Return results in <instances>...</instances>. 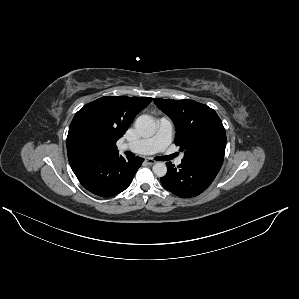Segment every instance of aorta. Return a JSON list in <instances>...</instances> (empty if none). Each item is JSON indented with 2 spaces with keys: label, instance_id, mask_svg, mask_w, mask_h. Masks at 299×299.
Returning a JSON list of instances; mask_svg holds the SVG:
<instances>
[{
  "label": "aorta",
  "instance_id": "762f6f07",
  "mask_svg": "<svg viewBox=\"0 0 299 299\" xmlns=\"http://www.w3.org/2000/svg\"><path fill=\"white\" fill-rule=\"evenodd\" d=\"M135 129L139 136L149 138L156 132V123L150 116L142 115L136 119ZM152 169L158 177H163L167 173V166L163 162L156 163Z\"/></svg>",
  "mask_w": 299,
  "mask_h": 299
}]
</instances>
